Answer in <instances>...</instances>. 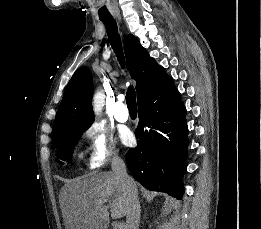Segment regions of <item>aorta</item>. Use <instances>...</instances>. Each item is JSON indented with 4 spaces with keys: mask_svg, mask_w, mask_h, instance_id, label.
Returning <instances> with one entry per match:
<instances>
[{
    "mask_svg": "<svg viewBox=\"0 0 261 229\" xmlns=\"http://www.w3.org/2000/svg\"><path fill=\"white\" fill-rule=\"evenodd\" d=\"M105 104V94L103 90H97L93 96V110L95 115H101L103 106Z\"/></svg>",
    "mask_w": 261,
    "mask_h": 229,
    "instance_id": "aorta-1",
    "label": "aorta"
}]
</instances>
